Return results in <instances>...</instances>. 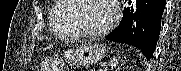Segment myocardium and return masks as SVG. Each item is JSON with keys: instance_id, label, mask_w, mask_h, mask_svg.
<instances>
[{"instance_id": "obj_1", "label": "myocardium", "mask_w": 181, "mask_h": 71, "mask_svg": "<svg viewBox=\"0 0 181 71\" xmlns=\"http://www.w3.org/2000/svg\"><path fill=\"white\" fill-rule=\"evenodd\" d=\"M71 3V9H72V15H71V23L74 30L77 32V34L81 37L88 38V39H95L102 37L106 34H108L115 26V17L112 16L110 18V21L108 24L103 27L100 30L92 31L89 29H86L80 19H79V11H80V2L84 0H68ZM110 7V10H113V6L110 5L109 1H106Z\"/></svg>"}]
</instances>
